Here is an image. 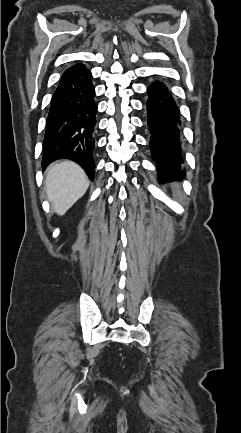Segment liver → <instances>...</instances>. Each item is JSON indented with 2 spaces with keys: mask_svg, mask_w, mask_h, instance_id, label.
Listing matches in <instances>:
<instances>
[{
  "mask_svg": "<svg viewBox=\"0 0 241 433\" xmlns=\"http://www.w3.org/2000/svg\"><path fill=\"white\" fill-rule=\"evenodd\" d=\"M45 185L52 208L62 216L85 194L89 180L79 165L61 161L47 169Z\"/></svg>",
  "mask_w": 241,
  "mask_h": 433,
  "instance_id": "1",
  "label": "liver"
}]
</instances>
